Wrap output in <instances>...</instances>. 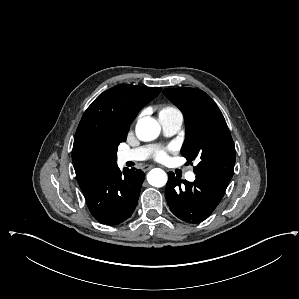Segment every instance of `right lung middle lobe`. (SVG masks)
<instances>
[{"instance_id":"right-lung-middle-lobe-1","label":"right lung middle lobe","mask_w":299,"mask_h":299,"mask_svg":"<svg viewBox=\"0 0 299 299\" xmlns=\"http://www.w3.org/2000/svg\"><path fill=\"white\" fill-rule=\"evenodd\" d=\"M120 141H116L111 144V149L109 152H102L95 156V170L100 173L102 170L115 165L117 147Z\"/></svg>"}]
</instances>
